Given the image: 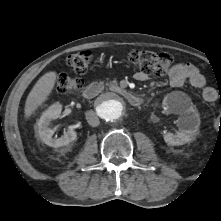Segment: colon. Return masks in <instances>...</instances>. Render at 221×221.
Returning <instances> with one entry per match:
<instances>
[{
	"mask_svg": "<svg viewBox=\"0 0 221 221\" xmlns=\"http://www.w3.org/2000/svg\"><path fill=\"white\" fill-rule=\"evenodd\" d=\"M129 62L146 75L163 76L172 64V56L168 53L132 50L128 55ZM92 61V52L82 50L69 56V67L77 74L87 72ZM83 83L80 78L59 73L56 78V88L63 94H71L81 89ZM221 103V97H220Z\"/></svg>",
	"mask_w": 221,
	"mask_h": 221,
	"instance_id": "5ec220e1",
	"label": "colon"
}]
</instances>
